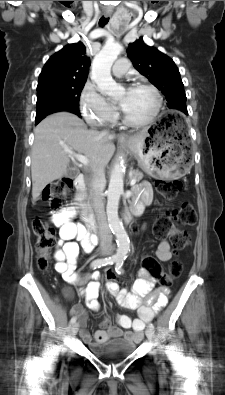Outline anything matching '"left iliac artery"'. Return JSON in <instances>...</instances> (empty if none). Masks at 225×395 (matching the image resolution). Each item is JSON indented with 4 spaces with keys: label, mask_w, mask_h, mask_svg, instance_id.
Returning <instances> with one entry per match:
<instances>
[{
    "label": "left iliac artery",
    "mask_w": 225,
    "mask_h": 395,
    "mask_svg": "<svg viewBox=\"0 0 225 395\" xmlns=\"http://www.w3.org/2000/svg\"><path fill=\"white\" fill-rule=\"evenodd\" d=\"M123 262H124V261H123L122 258H119V259L116 261L115 270H116V272H117L118 274L123 273V270H122ZM148 327H149L150 329L154 330V325H153L152 323H149Z\"/></svg>",
    "instance_id": "1"
}]
</instances>
